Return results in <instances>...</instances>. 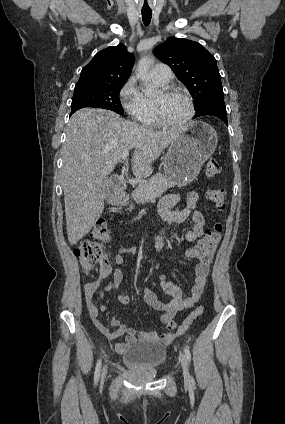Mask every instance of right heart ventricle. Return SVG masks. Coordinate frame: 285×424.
Masks as SVG:
<instances>
[{"mask_svg":"<svg viewBox=\"0 0 285 424\" xmlns=\"http://www.w3.org/2000/svg\"><path fill=\"white\" fill-rule=\"evenodd\" d=\"M142 123L146 126L153 128L159 126V123L155 116L154 101L148 97H146V113L144 119L142 120Z\"/></svg>","mask_w":285,"mask_h":424,"instance_id":"right-heart-ventricle-1","label":"right heart ventricle"}]
</instances>
